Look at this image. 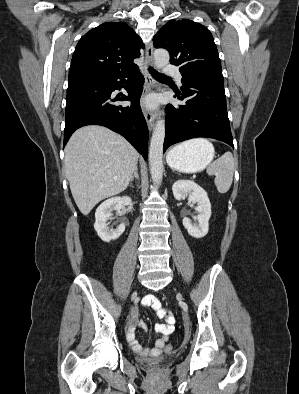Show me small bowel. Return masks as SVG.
<instances>
[{
	"instance_id": "small-bowel-1",
	"label": "small bowel",
	"mask_w": 299,
	"mask_h": 394,
	"mask_svg": "<svg viewBox=\"0 0 299 394\" xmlns=\"http://www.w3.org/2000/svg\"><path fill=\"white\" fill-rule=\"evenodd\" d=\"M143 305L151 308L156 315L163 320V322L156 323L154 329L160 334V337L156 340L155 346L152 348H145L141 346L135 338V329L138 324L142 328L146 329L145 324L138 320V310L136 307L132 308L131 316L128 321V328L126 333V339L129 342L131 348L141 356L145 357H156L160 355L164 349L166 343L169 340L170 335L173 333L176 323L174 314L163 306L161 301L154 295H147L143 298Z\"/></svg>"
}]
</instances>
